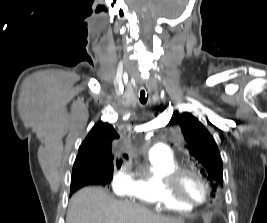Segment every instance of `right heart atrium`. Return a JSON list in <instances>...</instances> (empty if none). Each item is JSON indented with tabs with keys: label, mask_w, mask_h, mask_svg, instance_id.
<instances>
[{
	"label": "right heart atrium",
	"mask_w": 267,
	"mask_h": 223,
	"mask_svg": "<svg viewBox=\"0 0 267 223\" xmlns=\"http://www.w3.org/2000/svg\"><path fill=\"white\" fill-rule=\"evenodd\" d=\"M131 186V176L125 166L117 168L111 179V188L117 195L126 194Z\"/></svg>",
	"instance_id": "d8ad5b80"
}]
</instances>
